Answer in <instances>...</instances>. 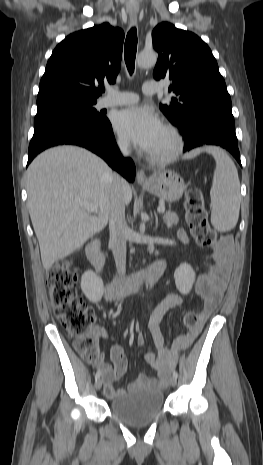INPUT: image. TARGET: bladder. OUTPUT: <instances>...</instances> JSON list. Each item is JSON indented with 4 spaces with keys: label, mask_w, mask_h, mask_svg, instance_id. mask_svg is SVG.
<instances>
[{
    "label": "bladder",
    "mask_w": 263,
    "mask_h": 465,
    "mask_svg": "<svg viewBox=\"0 0 263 465\" xmlns=\"http://www.w3.org/2000/svg\"><path fill=\"white\" fill-rule=\"evenodd\" d=\"M163 393L152 387H136L114 398L110 412L131 427H144L152 423L162 412Z\"/></svg>",
    "instance_id": "bladder-1"
}]
</instances>
